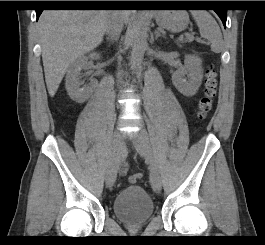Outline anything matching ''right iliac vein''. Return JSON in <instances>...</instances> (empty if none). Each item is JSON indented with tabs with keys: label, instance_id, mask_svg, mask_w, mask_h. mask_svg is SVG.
Returning <instances> with one entry per match:
<instances>
[{
	"label": "right iliac vein",
	"instance_id": "63e3f726",
	"mask_svg": "<svg viewBox=\"0 0 265 245\" xmlns=\"http://www.w3.org/2000/svg\"><path fill=\"white\" fill-rule=\"evenodd\" d=\"M122 142L121 132L116 131L112 137V155L106 171V183L109 187L113 185L117 177L118 158L120 155V146Z\"/></svg>",
	"mask_w": 265,
	"mask_h": 245
}]
</instances>
